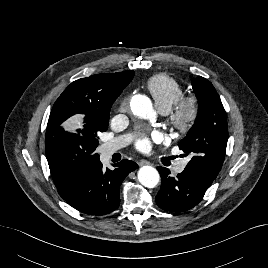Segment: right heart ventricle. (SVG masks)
<instances>
[{
    "label": "right heart ventricle",
    "mask_w": 268,
    "mask_h": 268,
    "mask_svg": "<svg viewBox=\"0 0 268 268\" xmlns=\"http://www.w3.org/2000/svg\"><path fill=\"white\" fill-rule=\"evenodd\" d=\"M146 88L157 108L165 113H168L184 94L183 87L177 81L162 74L151 77Z\"/></svg>",
    "instance_id": "obj_1"
}]
</instances>
